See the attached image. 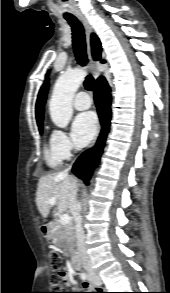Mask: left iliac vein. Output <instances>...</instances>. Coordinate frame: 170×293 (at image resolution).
Masks as SVG:
<instances>
[{
    "label": "left iliac vein",
    "mask_w": 170,
    "mask_h": 293,
    "mask_svg": "<svg viewBox=\"0 0 170 293\" xmlns=\"http://www.w3.org/2000/svg\"><path fill=\"white\" fill-rule=\"evenodd\" d=\"M88 279L94 286H100L102 285V280L100 276L95 273L94 271H91L88 273Z\"/></svg>",
    "instance_id": "left-iliac-vein-1"
}]
</instances>
